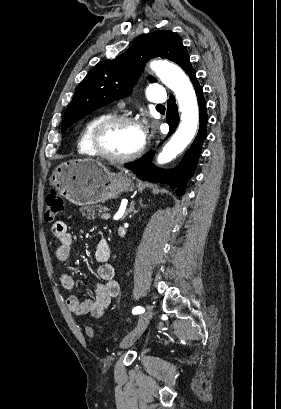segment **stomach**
I'll list each match as a JSON object with an SVG mask.
<instances>
[{
    "label": "stomach",
    "mask_w": 281,
    "mask_h": 409,
    "mask_svg": "<svg viewBox=\"0 0 281 409\" xmlns=\"http://www.w3.org/2000/svg\"><path fill=\"white\" fill-rule=\"evenodd\" d=\"M50 184L74 205H97L117 198L124 190H133L131 172L113 174L99 160L74 158L61 162L50 176Z\"/></svg>",
    "instance_id": "stomach-1"
}]
</instances>
